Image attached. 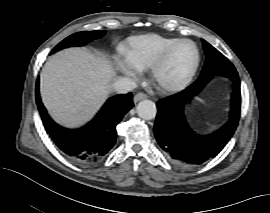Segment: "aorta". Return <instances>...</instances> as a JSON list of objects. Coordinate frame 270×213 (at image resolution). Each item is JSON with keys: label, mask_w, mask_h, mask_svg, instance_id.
I'll use <instances>...</instances> for the list:
<instances>
[{"label": "aorta", "mask_w": 270, "mask_h": 213, "mask_svg": "<svg viewBox=\"0 0 270 213\" xmlns=\"http://www.w3.org/2000/svg\"><path fill=\"white\" fill-rule=\"evenodd\" d=\"M138 116L145 120H151L155 118L157 113L156 105L151 100H142L137 105Z\"/></svg>", "instance_id": "obj_1"}]
</instances>
